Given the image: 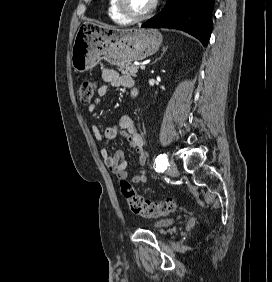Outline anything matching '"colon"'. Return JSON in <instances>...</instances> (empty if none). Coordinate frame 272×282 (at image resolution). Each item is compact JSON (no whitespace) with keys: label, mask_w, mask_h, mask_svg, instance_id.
Masks as SVG:
<instances>
[{"label":"colon","mask_w":272,"mask_h":282,"mask_svg":"<svg viewBox=\"0 0 272 282\" xmlns=\"http://www.w3.org/2000/svg\"><path fill=\"white\" fill-rule=\"evenodd\" d=\"M99 88L95 81L82 78L77 86V94L83 104L90 103ZM120 191L129 209L143 218H158L174 212L177 208L175 199H166L160 202L144 200L135 188L124 178H120Z\"/></svg>","instance_id":"colon-1"}]
</instances>
